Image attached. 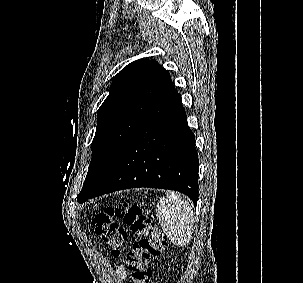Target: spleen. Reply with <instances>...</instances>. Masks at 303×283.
<instances>
[{
	"instance_id": "spleen-1",
	"label": "spleen",
	"mask_w": 303,
	"mask_h": 283,
	"mask_svg": "<svg viewBox=\"0 0 303 283\" xmlns=\"http://www.w3.org/2000/svg\"><path fill=\"white\" fill-rule=\"evenodd\" d=\"M159 224L176 246L186 245L193 231L194 213L189 202L175 192H167L156 206Z\"/></svg>"
}]
</instances>
